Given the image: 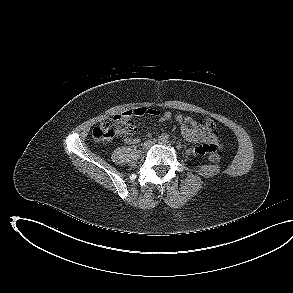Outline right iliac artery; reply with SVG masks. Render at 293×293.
<instances>
[{"label":"right iliac artery","instance_id":"1","mask_svg":"<svg viewBox=\"0 0 293 293\" xmlns=\"http://www.w3.org/2000/svg\"><path fill=\"white\" fill-rule=\"evenodd\" d=\"M169 139V135L166 133H163L159 136V140L167 141Z\"/></svg>","mask_w":293,"mask_h":293}]
</instances>
